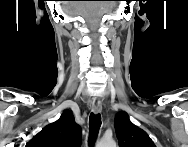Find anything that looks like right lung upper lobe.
Returning <instances> with one entry per match:
<instances>
[{
	"instance_id": "obj_1",
	"label": "right lung upper lobe",
	"mask_w": 188,
	"mask_h": 147,
	"mask_svg": "<svg viewBox=\"0 0 188 147\" xmlns=\"http://www.w3.org/2000/svg\"><path fill=\"white\" fill-rule=\"evenodd\" d=\"M81 128L75 122L71 111L66 110L60 118L44 127L28 147H80Z\"/></svg>"
}]
</instances>
